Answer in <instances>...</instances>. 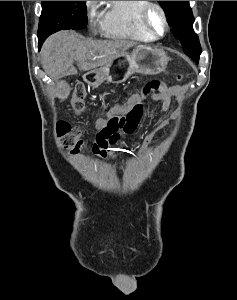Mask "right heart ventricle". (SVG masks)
Wrapping results in <instances>:
<instances>
[{
    "instance_id": "1",
    "label": "right heart ventricle",
    "mask_w": 237,
    "mask_h": 300,
    "mask_svg": "<svg viewBox=\"0 0 237 300\" xmlns=\"http://www.w3.org/2000/svg\"><path fill=\"white\" fill-rule=\"evenodd\" d=\"M147 1H108L104 9L100 29L112 37L152 39L143 24L141 11Z\"/></svg>"
}]
</instances>
